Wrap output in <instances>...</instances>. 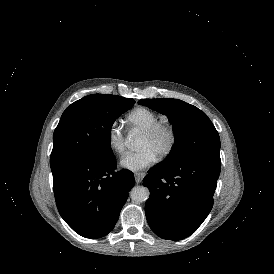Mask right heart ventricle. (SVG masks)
I'll return each instance as SVG.
<instances>
[{"label": "right heart ventricle", "mask_w": 274, "mask_h": 274, "mask_svg": "<svg viewBox=\"0 0 274 274\" xmlns=\"http://www.w3.org/2000/svg\"><path fill=\"white\" fill-rule=\"evenodd\" d=\"M129 130L143 132L159 122V117L156 113L141 109L126 117Z\"/></svg>", "instance_id": "1"}]
</instances>
